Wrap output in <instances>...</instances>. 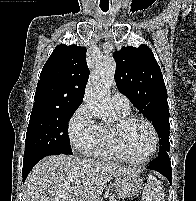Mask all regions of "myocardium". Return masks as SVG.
<instances>
[{
	"label": "myocardium",
	"mask_w": 196,
	"mask_h": 201,
	"mask_svg": "<svg viewBox=\"0 0 196 201\" xmlns=\"http://www.w3.org/2000/svg\"><path fill=\"white\" fill-rule=\"evenodd\" d=\"M137 121L145 123L149 127L152 134V148L145 157L140 159L133 158L125 145V132L131 124ZM113 137L118 151L122 157L131 164L141 165L149 162L158 149L159 138L157 130L153 123L143 116L128 115L126 117L119 118L117 123L113 126Z\"/></svg>",
	"instance_id": "1"
}]
</instances>
